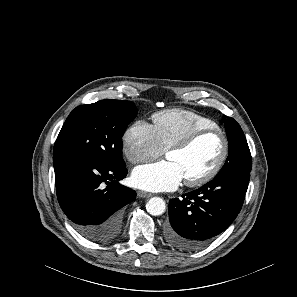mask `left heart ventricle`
<instances>
[{
	"label": "left heart ventricle",
	"mask_w": 297,
	"mask_h": 297,
	"mask_svg": "<svg viewBox=\"0 0 297 297\" xmlns=\"http://www.w3.org/2000/svg\"><path fill=\"white\" fill-rule=\"evenodd\" d=\"M222 149L221 139L215 134H209L185 150L168 152L166 157L180 165L186 180L209 171L219 159Z\"/></svg>",
	"instance_id": "b2bd125f"
}]
</instances>
